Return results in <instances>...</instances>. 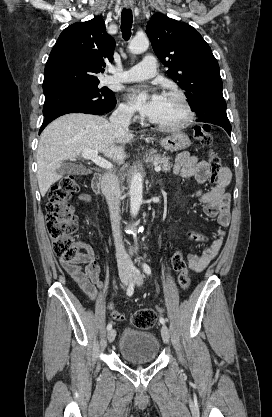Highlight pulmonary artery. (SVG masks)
I'll return each mask as SVG.
<instances>
[{
    "instance_id": "obj_1",
    "label": "pulmonary artery",
    "mask_w": 272,
    "mask_h": 417,
    "mask_svg": "<svg viewBox=\"0 0 272 417\" xmlns=\"http://www.w3.org/2000/svg\"><path fill=\"white\" fill-rule=\"evenodd\" d=\"M157 72L156 59L147 55L137 65L125 70L124 72H115L108 78V82H134L149 79Z\"/></svg>"
}]
</instances>
